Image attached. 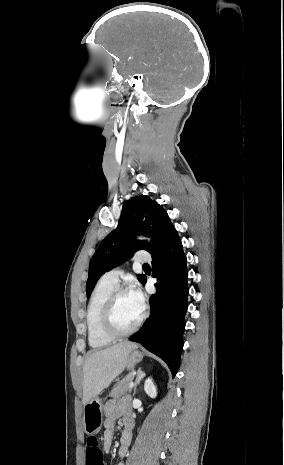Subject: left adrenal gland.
Listing matches in <instances>:
<instances>
[{
    "label": "left adrenal gland",
    "instance_id": "1",
    "mask_svg": "<svg viewBox=\"0 0 284 465\" xmlns=\"http://www.w3.org/2000/svg\"><path fill=\"white\" fill-rule=\"evenodd\" d=\"M144 377H145V373H143V371H141V367H140V369H138V371H137V375H136V379H135V383H134L133 397H135V395H136L137 385H139L140 381H142V379H144Z\"/></svg>",
    "mask_w": 284,
    "mask_h": 465
}]
</instances>
